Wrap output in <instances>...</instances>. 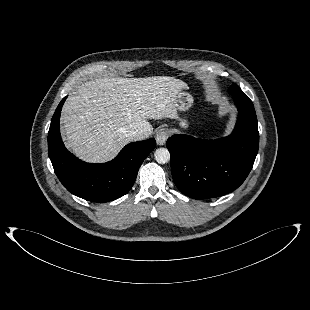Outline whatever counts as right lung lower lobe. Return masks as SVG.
Instances as JSON below:
<instances>
[{
  "mask_svg": "<svg viewBox=\"0 0 310 310\" xmlns=\"http://www.w3.org/2000/svg\"><path fill=\"white\" fill-rule=\"evenodd\" d=\"M66 98L59 103L48 132V153L57 177L69 192L88 201L109 202L122 197L134 184L144 159L154 150V138L126 145L110 162H83L65 148L60 136V113Z\"/></svg>",
  "mask_w": 310,
  "mask_h": 310,
  "instance_id": "98d812e1",
  "label": "right lung lower lobe"
}]
</instances>
